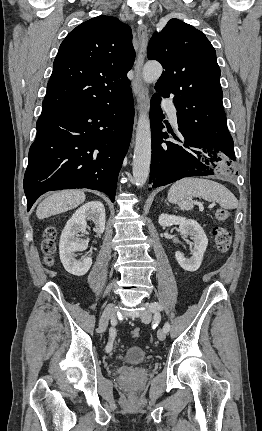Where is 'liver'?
<instances>
[{"label":"liver","instance_id":"6515ba94","mask_svg":"<svg viewBox=\"0 0 262 431\" xmlns=\"http://www.w3.org/2000/svg\"><path fill=\"white\" fill-rule=\"evenodd\" d=\"M85 193L80 190H63L47 196L37 207L36 216L43 220L74 209L85 201Z\"/></svg>","mask_w":262,"mask_h":431}]
</instances>
